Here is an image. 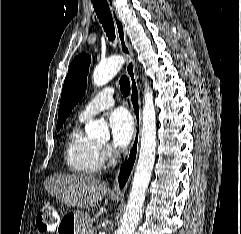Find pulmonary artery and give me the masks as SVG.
<instances>
[{"instance_id":"pulmonary-artery-1","label":"pulmonary artery","mask_w":241,"mask_h":234,"mask_svg":"<svg viewBox=\"0 0 241 234\" xmlns=\"http://www.w3.org/2000/svg\"><path fill=\"white\" fill-rule=\"evenodd\" d=\"M114 89L106 87L98 92L81 110L79 120L85 121L114 104Z\"/></svg>"}]
</instances>
